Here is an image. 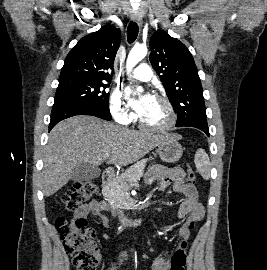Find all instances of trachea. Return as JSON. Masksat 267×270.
Here are the masks:
<instances>
[{"label": "trachea", "mask_w": 267, "mask_h": 270, "mask_svg": "<svg viewBox=\"0 0 267 270\" xmlns=\"http://www.w3.org/2000/svg\"><path fill=\"white\" fill-rule=\"evenodd\" d=\"M139 28L136 22L131 21L127 28V39L129 43L136 40L138 36Z\"/></svg>", "instance_id": "1"}]
</instances>
